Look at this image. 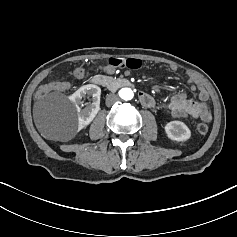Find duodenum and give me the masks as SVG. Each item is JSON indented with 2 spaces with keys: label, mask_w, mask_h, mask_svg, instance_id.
I'll return each instance as SVG.
<instances>
[{
  "label": "duodenum",
  "mask_w": 237,
  "mask_h": 237,
  "mask_svg": "<svg viewBox=\"0 0 237 237\" xmlns=\"http://www.w3.org/2000/svg\"><path fill=\"white\" fill-rule=\"evenodd\" d=\"M91 84L98 87H131L132 82L128 79L111 80L104 75H95L90 79Z\"/></svg>",
  "instance_id": "duodenum-1"
}]
</instances>
